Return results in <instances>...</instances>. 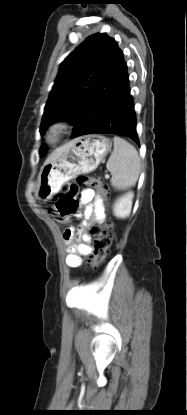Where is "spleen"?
Wrapping results in <instances>:
<instances>
[{
  "mask_svg": "<svg viewBox=\"0 0 187 415\" xmlns=\"http://www.w3.org/2000/svg\"><path fill=\"white\" fill-rule=\"evenodd\" d=\"M114 149L106 167L111 173V185L125 190L135 185L140 174L141 160L135 147L125 139L115 136Z\"/></svg>",
  "mask_w": 187,
  "mask_h": 415,
  "instance_id": "3e777b00",
  "label": "spleen"
}]
</instances>
